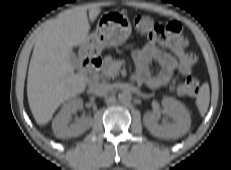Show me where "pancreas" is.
I'll return each instance as SVG.
<instances>
[{
	"instance_id": "cf45deb5",
	"label": "pancreas",
	"mask_w": 231,
	"mask_h": 170,
	"mask_svg": "<svg viewBox=\"0 0 231 170\" xmlns=\"http://www.w3.org/2000/svg\"><path fill=\"white\" fill-rule=\"evenodd\" d=\"M116 63V60H113L111 56H106L104 58L101 77L108 79L116 77L118 75V69L114 67Z\"/></svg>"
}]
</instances>
